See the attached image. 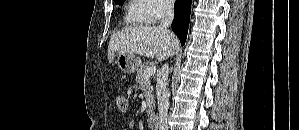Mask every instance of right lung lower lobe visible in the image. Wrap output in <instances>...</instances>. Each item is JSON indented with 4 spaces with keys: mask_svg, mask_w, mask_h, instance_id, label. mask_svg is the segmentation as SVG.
Here are the masks:
<instances>
[{
    "mask_svg": "<svg viewBox=\"0 0 299 130\" xmlns=\"http://www.w3.org/2000/svg\"><path fill=\"white\" fill-rule=\"evenodd\" d=\"M191 2L192 0H176V4L174 5L172 29L179 37L182 45L185 44L188 32Z\"/></svg>",
    "mask_w": 299,
    "mask_h": 130,
    "instance_id": "98d812e1",
    "label": "right lung lower lobe"
}]
</instances>
